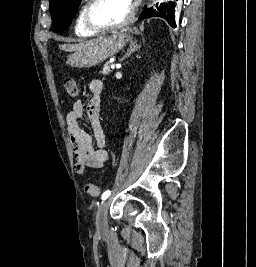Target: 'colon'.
Wrapping results in <instances>:
<instances>
[{"label":"colon","mask_w":256,"mask_h":267,"mask_svg":"<svg viewBox=\"0 0 256 267\" xmlns=\"http://www.w3.org/2000/svg\"><path fill=\"white\" fill-rule=\"evenodd\" d=\"M64 87L69 97L75 98L79 95L80 89L78 84L70 77L65 78ZM85 191L92 197H98L101 194V188L93 183L85 185Z\"/></svg>","instance_id":"5ec220e1"}]
</instances>
